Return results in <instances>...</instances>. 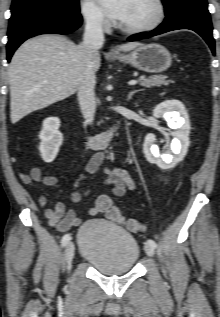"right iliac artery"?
<instances>
[{
  "label": "right iliac artery",
  "mask_w": 220,
  "mask_h": 317,
  "mask_svg": "<svg viewBox=\"0 0 220 317\" xmlns=\"http://www.w3.org/2000/svg\"><path fill=\"white\" fill-rule=\"evenodd\" d=\"M70 240H71L70 234H65L61 240L62 247L66 246Z\"/></svg>",
  "instance_id": "1"
}]
</instances>
